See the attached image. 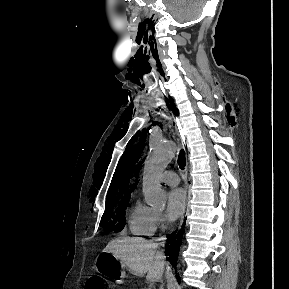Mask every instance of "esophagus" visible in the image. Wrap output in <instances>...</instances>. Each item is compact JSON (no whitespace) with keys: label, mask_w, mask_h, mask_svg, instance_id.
Wrapping results in <instances>:
<instances>
[{"label":"esophagus","mask_w":289,"mask_h":289,"mask_svg":"<svg viewBox=\"0 0 289 289\" xmlns=\"http://www.w3.org/2000/svg\"><path fill=\"white\" fill-rule=\"evenodd\" d=\"M174 125H175L174 126L175 134H176L178 140H180L181 143L183 144V147H184L185 152H186L185 183H186V187L188 189L189 188V177H188L189 148L187 146L186 138H185L184 134L182 133L180 122L178 120H176ZM189 199H190V194L188 193L187 201H189ZM182 220H183V218H182Z\"/></svg>","instance_id":"obj_1"}]
</instances>
